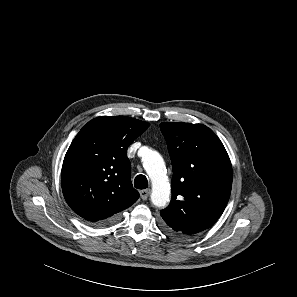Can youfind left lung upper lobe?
Returning a JSON list of instances; mask_svg holds the SVG:
<instances>
[{
  "instance_id": "5c2ea615",
  "label": "left lung upper lobe",
  "mask_w": 297,
  "mask_h": 297,
  "mask_svg": "<svg viewBox=\"0 0 297 297\" xmlns=\"http://www.w3.org/2000/svg\"><path fill=\"white\" fill-rule=\"evenodd\" d=\"M172 161V200L160 211L162 225L181 237L210 228L231 193L232 167L217 135L202 124L163 122Z\"/></svg>"
}]
</instances>
